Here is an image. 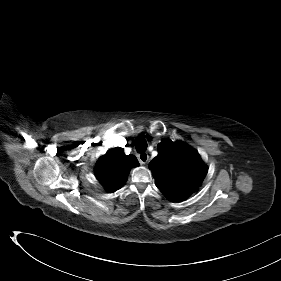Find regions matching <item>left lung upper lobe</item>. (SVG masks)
Wrapping results in <instances>:
<instances>
[{"instance_id":"left-lung-upper-lobe-1","label":"left lung upper lobe","mask_w":281,"mask_h":281,"mask_svg":"<svg viewBox=\"0 0 281 281\" xmlns=\"http://www.w3.org/2000/svg\"><path fill=\"white\" fill-rule=\"evenodd\" d=\"M149 168L158 189L172 201H182L195 192L207 174L199 154L189 145L162 140Z\"/></svg>"}]
</instances>
